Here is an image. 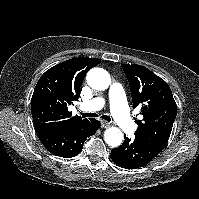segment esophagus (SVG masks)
I'll return each mask as SVG.
<instances>
[{
    "mask_svg": "<svg viewBox=\"0 0 199 199\" xmlns=\"http://www.w3.org/2000/svg\"><path fill=\"white\" fill-rule=\"evenodd\" d=\"M110 126V123L106 122V121H101V127L102 128H108Z\"/></svg>",
    "mask_w": 199,
    "mask_h": 199,
    "instance_id": "1",
    "label": "esophagus"
}]
</instances>
